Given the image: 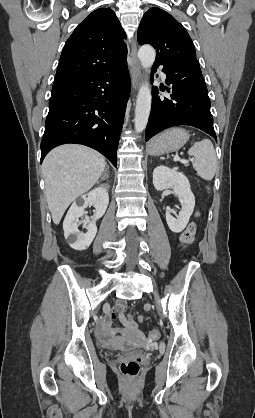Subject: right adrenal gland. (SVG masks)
<instances>
[{"label":"right adrenal gland","instance_id":"obj_1","mask_svg":"<svg viewBox=\"0 0 255 418\" xmlns=\"http://www.w3.org/2000/svg\"><path fill=\"white\" fill-rule=\"evenodd\" d=\"M109 177V167L107 166L101 180L107 179Z\"/></svg>","mask_w":255,"mask_h":418}]
</instances>
